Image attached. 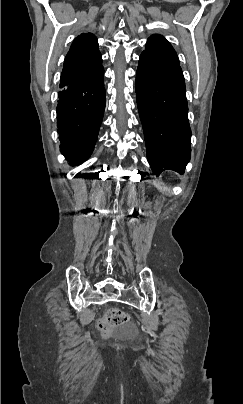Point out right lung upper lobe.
I'll use <instances>...</instances> for the list:
<instances>
[{"mask_svg": "<svg viewBox=\"0 0 243 404\" xmlns=\"http://www.w3.org/2000/svg\"><path fill=\"white\" fill-rule=\"evenodd\" d=\"M102 63L97 38L91 33H83L73 41L65 58L60 78V88L71 80L83 77Z\"/></svg>", "mask_w": 243, "mask_h": 404, "instance_id": "right-lung-upper-lobe-1", "label": "right lung upper lobe"}]
</instances>
